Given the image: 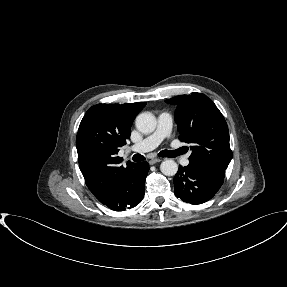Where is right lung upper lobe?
Here are the masks:
<instances>
[{
  "label": "right lung upper lobe",
  "mask_w": 287,
  "mask_h": 287,
  "mask_svg": "<svg viewBox=\"0 0 287 287\" xmlns=\"http://www.w3.org/2000/svg\"><path fill=\"white\" fill-rule=\"evenodd\" d=\"M146 103L97 104L84 115L76 137L78 161L85 183L100 201L113 182L133 163L120 165L119 148L130 137L136 115Z\"/></svg>",
  "instance_id": "1"
}]
</instances>
